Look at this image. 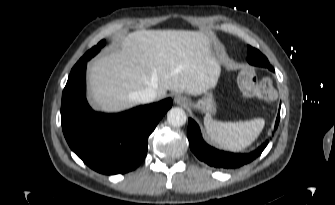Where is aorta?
<instances>
[{
	"mask_svg": "<svg viewBox=\"0 0 335 205\" xmlns=\"http://www.w3.org/2000/svg\"><path fill=\"white\" fill-rule=\"evenodd\" d=\"M167 121L172 126H183L187 121V115L182 108H171L167 113Z\"/></svg>",
	"mask_w": 335,
	"mask_h": 205,
	"instance_id": "aorta-1",
	"label": "aorta"
}]
</instances>
